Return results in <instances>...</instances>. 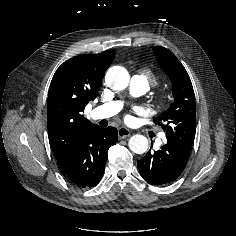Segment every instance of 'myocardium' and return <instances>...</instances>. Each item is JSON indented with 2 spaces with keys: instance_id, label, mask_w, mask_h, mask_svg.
<instances>
[{
  "instance_id": "myocardium-1",
  "label": "myocardium",
  "mask_w": 236,
  "mask_h": 236,
  "mask_svg": "<svg viewBox=\"0 0 236 236\" xmlns=\"http://www.w3.org/2000/svg\"><path fill=\"white\" fill-rule=\"evenodd\" d=\"M159 102H160L162 105L167 104V102H168V97H167V96H163V97L159 100Z\"/></svg>"
}]
</instances>
